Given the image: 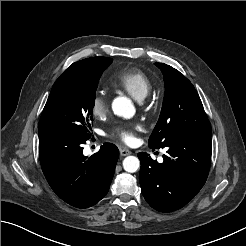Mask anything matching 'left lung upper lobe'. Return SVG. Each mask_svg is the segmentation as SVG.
<instances>
[{
    "label": "left lung upper lobe",
    "mask_w": 246,
    "mask_h": 246,
    "mask_svg": "<svg viewBox=\"0 0 246 246\" xmlns=\"http://www.w3.org/2000/svg\"><path fill=\"white\" fill-rule=\"evenodd\" d=\"M155 65L164 75L165 96L149 146L162 148L175 138L211 137V125L191 82L169 65Z\"/></svg>",
    "instance_id": "left-lung-upper-lobe-1"
}]
</instances>
